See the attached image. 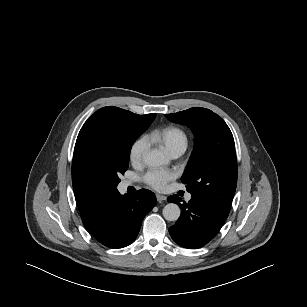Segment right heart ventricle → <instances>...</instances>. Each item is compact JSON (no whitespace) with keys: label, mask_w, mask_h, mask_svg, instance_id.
I'll return each instance as SVG.
<instances>
[{"label":"right heart ventricle","mask_w":307,"mask_h":307,"mask_svg":"<svg viewBox=\"0 0 307 307\" xmlns=\"http://www.w3.org/2000/svg\"><path fill=\"white\" fill-rule=\"evenodd\" d=\"M149 137L153 142L162 144L170 154L176 151L184 152L188 145L186 132L175 126L153 130Z\"/></svg>","instance_id":"right-heart-ventricle-1"}]
</instances>
